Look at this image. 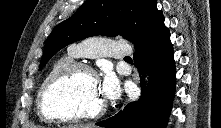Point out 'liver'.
I'll list each match as a JSON object with an SVG mask.
<instances>
[{
	"label": "liver",
	"mask_w": 221,
	"mask_h": 128,
	"mask_svg": "<svg viewBox=\"0 0 221 128\" xmlns=\"http://www.w3.org/2000/svg\"><path fill=\"white\" fill-rule=\"evenodd\" d=\"M66 128H96L94 125H90V124H87V125H69L68 127Z\"/></svg>",
	"instance_id": "1"
}]
</instances>
